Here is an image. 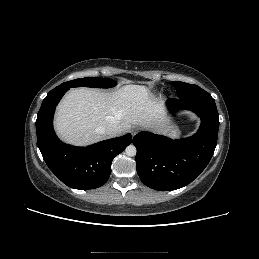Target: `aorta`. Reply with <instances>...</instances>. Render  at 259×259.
Wrapping results in <instances>:
<instances>
[{
  "label": "aorta",
  "mask_w": 259,
  "mask_h": 259,
  "mask_svg": "<svg viewBox=\"0 0 259 259\" xmlns=\"http://www.w3.org/2000/svg\"><path fill=\"white\" fill-rule=\"evenodd\" d=\"M136 147L134 145H129L125 149V153L127 156H135L136 155Z\"/></svg>",
  "instance_id": "aorta-1"
}]
</instances>
